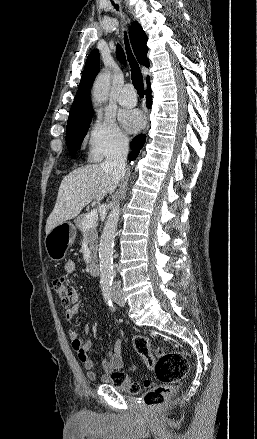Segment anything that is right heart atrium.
<instances>
[{"mask_svg": "<svg viewBox=\"0 0 257 439\" xmlns=\"http://www.w3.org/2000/svg\"><path fill=\"white\" fill-rule=\"evenodd\" d=\"M126 141V135L114 118L98 114L85 137L87 156L92 161H100L122 150Z\"/></svg>", "mask_w": 257, "mask_h": 439, "instance_id": "right-heart-atrium-1", "label": "right heart atrium"}]
</instances>
